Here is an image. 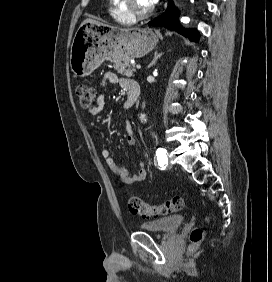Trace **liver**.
Returning <instances> with one entry per match:
<instances>
[{
  "label": "liver",
  "instance_id": "6515ba94",
  "mask_svg": "<svg viewBox=\"0 0 272 282\" xmlns=\"http://www.w3.org/2000/svg\"><path fill=\"white\" fill-rule=\"evenodd\" d=\"M85 23H98V22L95 21V20H92V19H86V20L83 21L82 24H85ZM82 24H81V25H82Z\"/></svg>",
  "mask_w": 272,
  "mask_h": 282
}]
</instances>
